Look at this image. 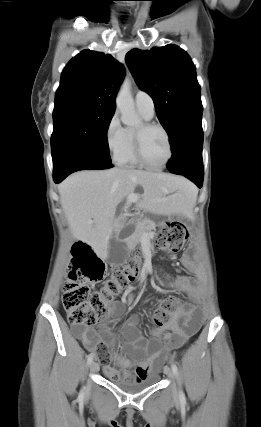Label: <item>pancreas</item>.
<instances>
[{"mask_svg":"<svg viewBox=\"0 0 261 427\" xmlns=\"http://www.w3.org/2000/svg\"><path fill=\"white\" fill-rule=\"evenodd\" d=\"M155 228V225L154 224H149V221L147 220V219H145V220H143V221H141L138 225H137V227H136V230H135V233H134V238H135V240L136 241H140L141 240V238L144 236V235H151V234H153L152 232H151V230L152 229H154ZM147 231H148V233H147Z\"/></svg>","mask_w":261,"mask_h":427,"instance_id":"obj_1","label":"pancreas"}]
</instances>
